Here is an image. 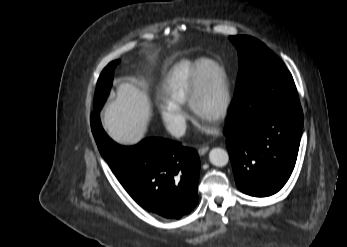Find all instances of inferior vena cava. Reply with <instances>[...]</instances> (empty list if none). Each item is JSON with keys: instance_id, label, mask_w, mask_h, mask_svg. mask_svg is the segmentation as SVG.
<instances>
[{"instance_id": "602c4592", "label": "inferior vena cava", "mask_w": 347, "mask_h": 247, "mask_svg": "<svg viewBox=\"0 0 347 247\" xmlns=\"http://www.w3.org/2000/svg\"><path fill=\"white\" fill-rule=\"evenodd\" d=\"M167 130L172 136L179 138L186 132V123L182 121L170 122L167 125Z\"/></svg>"}]
</instances>
